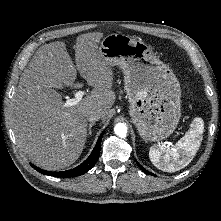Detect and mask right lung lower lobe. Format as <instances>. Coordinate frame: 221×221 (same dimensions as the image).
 I'll use <instances>...</instances> for the list:
<instances>
[{
    "mask_svg": "<svg viewBox=\"0 0 221 221\" xmlns=\"http://www.w3.org/2000/svg\"><path fill=\"white\" fill-rule=\"evenodd\" d=\"M102 137H103V133L100 135L90 156L82 164H80L79 166H77L73 169L66 170V171H60V172H51V171H46V170L40 169V168L34 166L33 164H31V166L35 170H37L38 172H40L42 174H47V175L54 176V177L71 178V177L80 176V175L86 173L91 168H93L95 163L97 162V160L99 158V154H100Z\"/></svg>",
    "mask_w": 221,
    "mask_h": 221,
    "instance_id": "right-lung-lower-lobe-1",
    "label": "right lung lower lobe"
}]
</instances>
